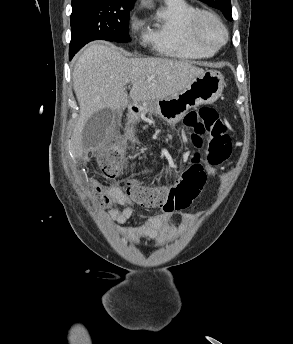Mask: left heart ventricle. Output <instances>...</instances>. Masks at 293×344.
I'll return each mask as SVG.
<instances>
[{"label": "left heart ventricle", "instance_id": "1", "mask_svg": "<svg viewBox=\"0 0 293 344\" xmlns=\"http://www.w3.org/2000/svg\"><path fill=\"white\" fill-rule=\"evenodd\" d=\"M202 34L205 41L210 45H215L222 39L221 30L211 22L204 23Z\"/></svg>", "mask_w": 293, "mask_h": 344}]
</instances>
